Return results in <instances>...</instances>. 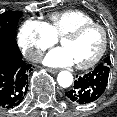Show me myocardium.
<instances>
[{"label":"myocardium","mask_w":117,"mask_h":117,"mask_svg":"<svg viewBox=\"0 0 117 117\" xmlns=\"http://www.w3.org/2000/svg\"><path fill=\"white\" fill-rule=\"evenodd\" d=\"M92 28H97L101 31L102 37H103L102 45H101L99 51L97 52V54L89 62L84 63V64H76V67L81 70H86V69L92 68L105 55L106 50L108 48V43H109V36H108L107 30L102 25L93 22V23H87V24L80 25V26L74 28L73 30L67 32L63 36H61L60 41L62 44V41L64 39H68V38L75 39V38L79 37L80 35H82L84 32H86L87 30L92 29Z\"/></svg>","instance_id":"1"}]
</instances>
